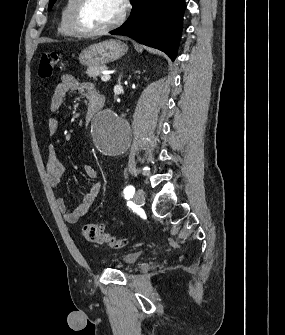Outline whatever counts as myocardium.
<instances>
[{"instance_id":"f54148a6","label":"myocardium","mask_w":285,"mask_h":335,"mask_svg":"<svg viewBox=\"0 0 285 335\" xmlns=\"http://www.w3.org/2000/svg\"><path fill=\"white\" fill-rule=\"evenodd\" d=\"M90 1H76L71 13V25L76 34L83 37H96L106 34L117 28L125 17V8L128 1H118V13L114 20L101 29L87 27L82 19L83 11Z\"/></svg>"}]
</instances>
